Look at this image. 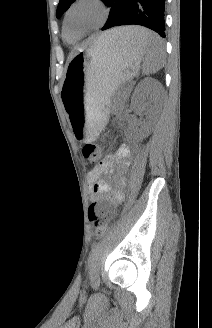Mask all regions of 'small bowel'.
<instances>
[{
	"label": "small bowel",
	"mask_w": 212,
	"mask_h": 328,
	"mask_svg": "<svg viewBox=\"0 0 212 328\" xmlns=\"http://www.w3.org/2000/svg\"><path fill=\"white\" fill-rule=\"evenodd\" d=\"M129 162L130 150L127 146L123 145L120 146L115 153L105 155L100 162L88 172L87 182L91 187L93 201H101L103 195L108 192L109 186L101 179V176L112 171L115 163H120L122 169L117 175V189L112 192L106 201L111 210L123 201V187L126 183V167L129 165Z\"/></svg>",
	"instance_id": "small-bowel-1"
}]
</instances>
